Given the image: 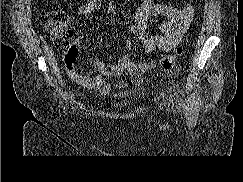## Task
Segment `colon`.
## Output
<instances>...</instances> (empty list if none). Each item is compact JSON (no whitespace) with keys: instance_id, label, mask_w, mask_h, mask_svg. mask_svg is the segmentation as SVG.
Returning a JSON list of instances; mask_svg holds the SVG:
<instances>
[{"instance_id":"colon-1","label":"colon","mask_w":243,"mask_h":182,"mask_svg":"<svg viewBox=\"0 0 243 182\" xmlns=\"http://www.w3.org/2000/svg\"><path fill=\"white\" fill-rule=\"evenodd\" d=\"M39 21L45 31L52 38L58 52L65 58L74 54V47L71 44L73 31L68 27V16L63 10H44L39 14ZM184 52L183 47L179 46L175 52L162 57L159 60V68L162 71L172 69L176 60Z\"/></svg>"}]
</instances>
